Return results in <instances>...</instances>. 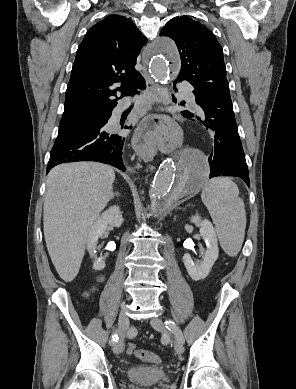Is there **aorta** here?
I'll use <instances>...</instances> for the list:
<instances>
[{"instance_id":"aorta-1","label":"aorta","mask_w":296,"mask_h":389,"mask_svg":"<svg viewBox=\"0 0 296 389\" xmlns=\"http://www.w3.org/2000/svg\"><path fill=\"white\" fill-rule=\"evenodd\" d=\"M150 63V72L159 82H166L169 75L177 78L180 75V58L176 45L167 38H158L154 43ZM183 161L177 165L172 160L164 161L151 186V211L154 215L162 214L180 196L192 194L201 181L208 176L207 156L196 149H185Z\"/></svg>"}]
</instances>
